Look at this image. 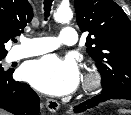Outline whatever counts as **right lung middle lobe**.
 <instances>
[{"label":"right lung middle lobe","mask_w":131,"mask_h":115,"mask_svg":"<svg viewBox=\"0 0 131 115\" xmlns=\"http://www.w3.org/2000/svg\"><path fill=\"white\" fill-rule=\"evenodd\" d=\"M4 58H5V56H0V61H1L2 59H4ZM9 72H10L9 70L5 71V70L3 69V67H2V64L0 63V75L7 74V73H9Z\"/></svg>","instance_id":"right-lung-middle-lobe-1"}]
</instances>
